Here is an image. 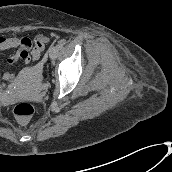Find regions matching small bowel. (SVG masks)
<instances>
[{
    "mask_svg": "<svg viewBox=\"0 0 172 172\" xmlns=\"http://www.w3.org/2000/svg\"><path fill=\"white\" fill-rule=\"evenodd\" d=\"M44 35H37L32 40L26 36L22 37H6L0 36V50L17 49L16 53L8 58L9 63L22 62L23 66H27L32 60L40 58L45 43L48 41ZM14 73H0V79L9 82L15 78Z\"/></svg>",
    "mask_w": 172,
    "mask_h": 172,
    "instance_id": "1",
    "label": "small bowel"
}]
</instances>
